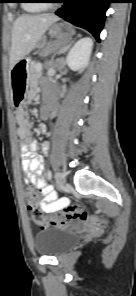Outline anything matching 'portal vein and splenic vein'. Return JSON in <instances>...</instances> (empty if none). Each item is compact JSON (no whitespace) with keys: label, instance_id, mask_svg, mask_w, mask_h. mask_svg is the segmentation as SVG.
<instances>
[{"label":"portal vein and splenic vein","instance_id":"obj_1","mask_svg":"<svg viewBox=\"0 0 136 296\" xmlns=\"http://www.w3.org/2000/svg\"><path fill=\"white\" fill-rule=\"evenodd\" d=\"M36 69H37L38 71H41V70H42V66H41V65H38V66L36 67Z\"/></svg>","mask_w":136,"mask_h":296}]
</instances>
